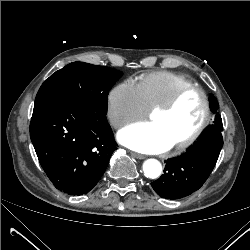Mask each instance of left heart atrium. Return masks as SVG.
<instances>
[{"label": "left heart atrium", "mask_w": 250, "mask_h": 250, "mask_svg": "<svg viewBox=\"0 0 250 250\" xmlns=\"http://www.w3.org/2000/svg\"><path fill=\"white\" fill-rule=\"evenodd\" d=\"M125 146L143 153H161L173 146L166 135L152 122L130 125L118 134Z\"/></svg>", "instance_id": "1"}]
</instances>
